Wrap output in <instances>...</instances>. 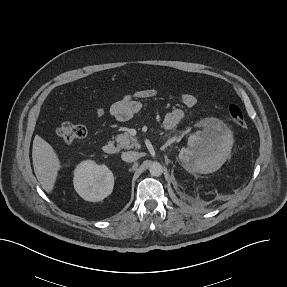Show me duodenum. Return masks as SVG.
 Returning a JSON list of instances; mask_svg holds the SVG:
<instances>
[{"label":"duodenum","instance_id":"obj_1","mask_svg":"<svg viewBox=\"0 0 287 287\" xmlns=\"http://www.w3.org/2000/svg\"><path fill=\"white\" fill-rule=\"evenodd\" d=\"M103 150L107 154H114L117 152V147L112 141H108L104 144Z\"/></svg>","mask_w":287,"mask_h":287}]
</instances>
